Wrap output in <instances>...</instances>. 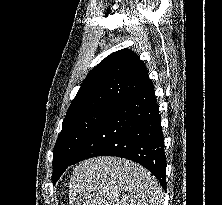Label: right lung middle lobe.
<instances>
[{"label": "right lung middle lobe", "mask_w": 222, "mask_h": 205, "mask_svg": "<svg viewBox=\"0 0 222 205\" xmlns=\"http://www.w3.org/2000/svg\"><path fill=\"white\" fill-rule=\"evenodd\" d=\"M111 108H95L64 119L53 150V183L60 178L83 142Z\"/></svg>", "instance_id": "obj_1"}]
</instances>
